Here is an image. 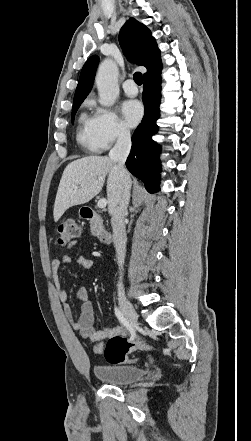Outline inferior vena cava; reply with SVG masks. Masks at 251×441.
<instances>
[{"mask_svg":"<svg viewBox=\"0 0 251 441\" xmlns=\"http://www.w3.org/2000/svg\"><path fill=\"white\" fill-rule=\"evenodd\" d=\"M130 149V131L127 129H120L116 144L109 152L110 160L117 163V167L120 170L121 193L111 213L113 241L120 270L123 269L127 243L125 217L127 216V207L130 200L131 179L128 171L125 169V161L129 155ZM117 286L119 293L124 292L122 282H118Z\"/></svg>","mask_w":251,"mask_h":441,"instance_id":"inferior-vena-cava-1","label":"inferior vena cava"}]
</instances>
